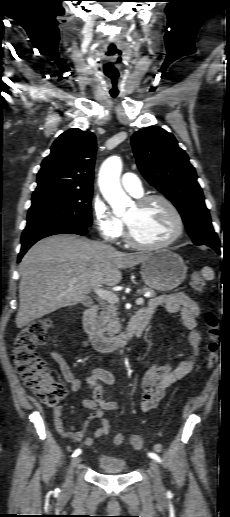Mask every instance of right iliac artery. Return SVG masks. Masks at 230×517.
<instances>
[{"label": "right iliac artery", "instance_id": "right-iliac-artery-1", "mask_svg": "<svg viewBox=\"0 0 230 517\" xmlns=\"http://www.w3.org/2000/svg\"><path fill=\"white\" fill-rule=\"evenodd\" d=\"M79 454H81V449H76L73 454H72V457H77Z\"/></svg>", "mask_w": 230, "mask_h": 517}]
</instances>
